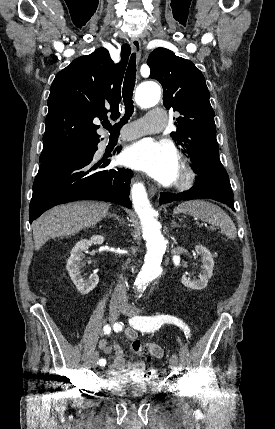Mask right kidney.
<instances>
[{
	"instance_id": "ca27d5eb",
	"label": "right kidney",
	"mask_w": 275,
	"mask_h": 429,
	"mask_svg": "<svg viewBox=\"0 0 275 429\" xmlns=\"http://www.w3.org/2000/svg\"><path fill=\"white\" fill-rule=\"evenodd\" d=\"M103 242V236L94 235L89 240H80L71 250L70 257L66 264V269L69 272V276L78 292L83 295L90 293L99 282V277L96 273L91 275L88 280H84V277L81 275L80 269L82 267V260L84 257L83 252L88 250L91 244L101 245Z\"/></svg>"
}]
</instances>
